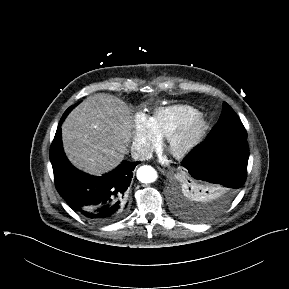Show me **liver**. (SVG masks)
<instances>
[{
	"instance_id": "6515ba94",
	"label": "liver",
	"mask_w": 289,
	"mask_h": 289,
	"mask_svg": "<svg viewBox=\"0 0 289 289\" xmlns=\"http://www.w3.org/2000/svg\"><path fill=\"white\" fill-rule=\"evenodd\" d=\"M132 128V116L124 102L97 93L75 107L63 122V148L75 167L100 176L124 159Z\"/></svg>"
}]
</instances>
